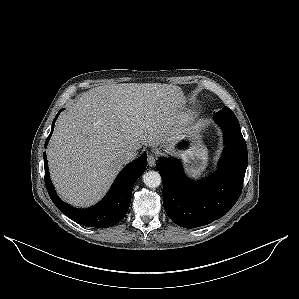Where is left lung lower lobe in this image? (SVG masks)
<instances>
[{"label":"left lung lower lobe","instance_id":"obj_1","mask_svg":"<svg viewBox=\"0 0 299 299\" xmlns=\"http://www.w3.org/2000/svg\"><path fill=\"white\" fill-rule=\"evenodd\" d=\"M213 118L223 130L225 143L217 172L196 183L184 176L174 159L162 157L156 165L163 181L165 211L176 224L188 229L225 215L237 202L243 187L248 153L238 119L228 107Z\"/></svg>","mask_w":299,"mask_h":299}]
</instances>
